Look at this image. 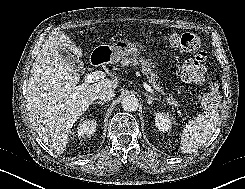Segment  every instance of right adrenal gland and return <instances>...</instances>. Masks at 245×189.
<instances>
[{"mask_svg": "<svg viewBox=\"0 0 245 189\" xmlns=\"http://www.w3.org/2000/svg\"><path fill=\"white\" fill-rule=\"evenodd\" d=\"M106 103V101H95L93 102V104H100V105H104Z\"/></svg>", "mask_w": 245, "mask_h": 189, "instance_id": "1", "label": "right adrenal gland"}]
</instances>
